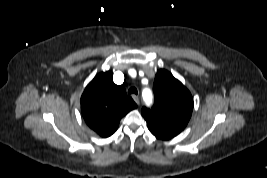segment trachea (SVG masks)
Wrapping results in <instances>:
<instances>
[{"mask_svg":"<svg viewBox=\"0 0 267 178\" xmlns=\"http://www.w3.org/2000/svg\"><path fill=\"white\" fill-rule=\"evenodd\" d=\"M138 91L135 87H131L129 90H128V95H131V94H135L137 95Z\"/></svg>","mask_w":267,"mask_h":178,"instance_id":"3493384b","label":"trachea"}]
</instances>
